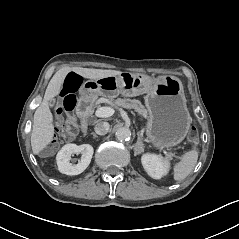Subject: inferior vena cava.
<instances>
[{
  "instance_id": "1",
  "label": "inferior vena cava",
  "mask_w": 239,
  "mask_h": 239,
  "mask_svg": "<svg viewBox=\"0 0 239 239\" xmlns=\"http://www.w3.org/2000/svg\"><path fill=\"white\" fill-rule=\"evenodd\" d=\"M94 131L98 135H101V136L106 135L109 131V124L107 122H99L95 125Z\"/></svg>"
}]
</instances>
